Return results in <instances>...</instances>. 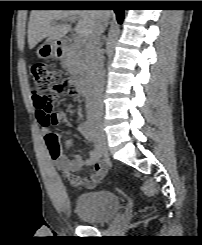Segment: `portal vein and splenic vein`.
<instances>
[{
	"label": "portal vein and splenic vein",
	"mask_w": 202,
	"mask_h": 245,
	"mask_svg": "<svg viewBox=\"0 0 202 245\" xmlns=\"http://www.w3.org/2000/svg\"><path fill=\"white\" fill-rule=\"evenodd\" d=\"M72 22H73V21H72ZM84 42H85V40H84V38L82 37V35L79 34V33H77V35H76L75 38H74V43H75L76 45H82V44H84Z\"/></svg>",
	"instance_id": "obj_1"
}]
</instances>
